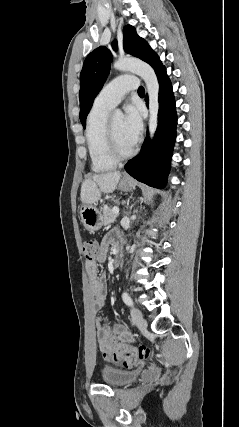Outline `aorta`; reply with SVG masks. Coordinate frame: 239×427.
<instances>
[{"label":"aorta","instance_id":"obj_1","mask_svg":"<svg viewBox=\"0 0 239 427\" xmlns=\"http://www.w3.org/2000/svg\"><path fill=\"white\" fill-rule=\"evenodd\" d=\"M113 67L119 71H130L139 75L146 84V89L149 97V133L150 138L154 137L158 126V112H159V83L157 76L152 67L134 58H124L117 60ZM116 117L122 115L121 110L117 109L114 113Z\"/></svg>","mask_w":239,"mask_h":427}]
</instances>
